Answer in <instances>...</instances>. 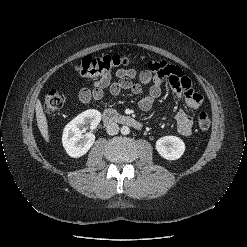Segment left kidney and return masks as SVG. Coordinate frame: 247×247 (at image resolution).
<instances>
[{"mask_svg":"<svg viewBox=\"0 0 247 247\" xmlns=\"http://www.w3.org/2000/svg\"><path fill=\"white\" fill-rule=\"evenodd\" d=\"M156 150L167 160L179 159L185 151V143L176 136H164L157 140Z\"/></svg>","mask_w":247,"mask_h":247,"instance_id":"left-kidney-1","label":"left kidney"}]
</instances>
